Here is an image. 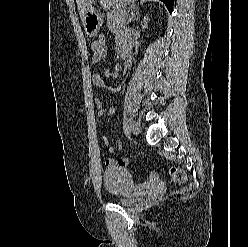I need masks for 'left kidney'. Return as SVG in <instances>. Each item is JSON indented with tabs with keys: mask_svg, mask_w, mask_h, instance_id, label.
Wrapping results in <instances>:
<instances>
[{
	"mask_svg": "<svg viewBox=\"0 0 248 247\" xmlns=\"http://www.w3.org/2000/svg\"><path fill=\"white\" fill-rule=\"evenodd\" d=\"M148 18L144 17L143 21L141 22L142 27L145 29L147 28Z\"/></svg>",
	"mask_w": 248,
	"mask_h": 247,
	"instance_id": "left-kidney-1",
	"label": "left kidney"
}]
</instances>
